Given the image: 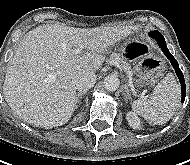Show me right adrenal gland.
I'll use <instances>...</instances> for the list:
<instances>
[{"label":"right adrenal gland","instance_id":"obj_1","mask_svg":"<svg viewBox=\"0 0 190 165\" xmlns=\"http://www.w3.org/2000/svg\"><path fill=\"white\" fill-rule=\"evenodd\" d=\"M85 94V92H79L77 95H76V100H75V105H74V108H77L78 107V104L80 103V100L82 98V96Z\"/></svg>","mask_w":190,"mask_h":165}]
</instances>
